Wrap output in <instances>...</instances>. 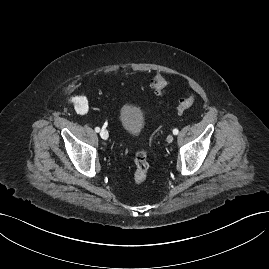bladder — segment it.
<instances>
[{
	"label": "bladder",
	"instance_id": "obj_1",
	"mask_svg": "<svg viewBox=\"0 0 269 269\" xmlns=\"http://www.w3.org/2000/svg\"><path fill=\"white\" fill-rule=\"evenodd\" d=\"M119 124L125 133L131 136H138L144 130L145 117L139 107L125 102L120 107Z\"/></svg>",
	"mask_w": 269,
	"mask_h": 269
}]
</instances>
